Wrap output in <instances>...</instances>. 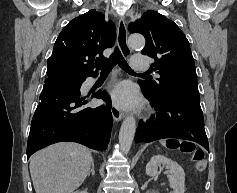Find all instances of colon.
<instances>
[{
    "label": "colon",
    "mask_w": 237,
    "mask_h": 193,
    "mask_svg": "<svg viewBox=\"0 0 237 193\" xmlns=\"http://www.w3.org/2000/svg\"><path fill=\"white\" fill-rule=\"evenodd\" d=\"M168 146L190 154L198 171H204L206 169L207 161L204 152L202 150L196 149L192 143L177 142L174 145L170 144Z\"/></svg>",
    "instance_id": "obj_1"
}]
</instances>
